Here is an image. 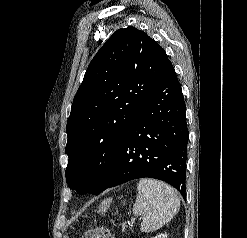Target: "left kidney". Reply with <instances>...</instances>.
I'll list each match as a JSON object with an SVG mask.
<instances>
[{
    "label": "left kidney",
    "mask_w": 247,
    "mask_h": 238,
    "mask_svg": "<svg viewBox=\"0 0 247 238\" xmlns=\"http://www.w3.org/2000/svg\"><path fill=\"white\" fill-rule=\"evenodd\" d=\"M154 238H167V234H160V235H157L155 236Z\"/></svg>",
    "instance_id": "left-kidney-1"
}]
</instances>
